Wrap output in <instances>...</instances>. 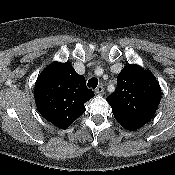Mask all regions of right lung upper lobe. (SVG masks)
<instances>
[{"label": "right lung upper lobe", "instance_id": "1", "mask_svg": "<svg viewBox=\"0 0 175 175\" xmlns=\"http://www.w3.org/2000/svg\"><path fill=\"white\" fill-rule=\"evenodd\" d=\"M94 96L84 76L70 63L54 62L46 67L35 83L34 98L41 115L65 129L85 112L84 103Z\"/></svg>", "mask_w": 175, "mask_h": 175}]
</instances>
